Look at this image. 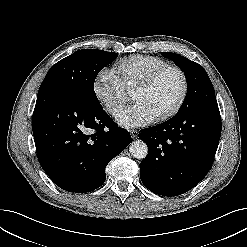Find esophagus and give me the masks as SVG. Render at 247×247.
Listing matches in <instances>:
<instances>
[{
  "instance_id": "esophagus-1",
  "label": "esophagus",
  "mask_w": 247,
  "mask_h": 247,
  "mask_svg": "<svg viewBox=\"0 0 247 247\" xmlns=\"http://www.w3.org/2000/svg\"><path fill=\"white\" fill-rule=\"evenodd\" d=\"M129 132H130V134H131L133 139L137 138V136H138V131L137 130L132 129Z\"/></svg>"
}]
</instances>
